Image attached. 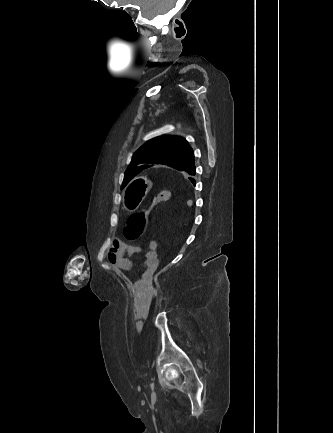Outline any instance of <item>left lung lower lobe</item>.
<instances>
[{
  "instance_id": "0a47b994",
  "label": "left lung lower lobe",
  "mask_w": 333,
  "mask_h": 433,
  "mask_svg": "<svg viewBox=\"0 0 333 433\" xmlns=\"http://www.w3.org/2000/svg\"><path fill=\"white\" fill-rule=\"evenodd\" d=\"M149 167H151V165H146V166L144 167V169L149 168ZM144 169H143V170H144ZM183 171L187 172V173L190 174V175H195V174H196L195 163H193V165H191L190 167H188L186 170H183ZM190 180H191L192 183L195 185V181H194L192 178H190Z\"/></svg>"
}]
</instances>
